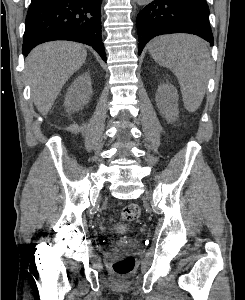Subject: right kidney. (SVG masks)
Instances as JSON below:
<instances>
[{"label":"right kidney","mask_w":245,"mask_h":300,"mask_svg":"<svg viewBox=\"0 0 245 300\" xmlns=\"http://www.w3.org/2000/svg\"><path fill=\"white\" fill-rule=\"evenodd\" d=\"M92 93L91 78L88 73L78 76L69 87L65 96L67 112L78 110L85 105Z\"/></svg>","instance_id":"ca27d5eb"}]
</instances>
